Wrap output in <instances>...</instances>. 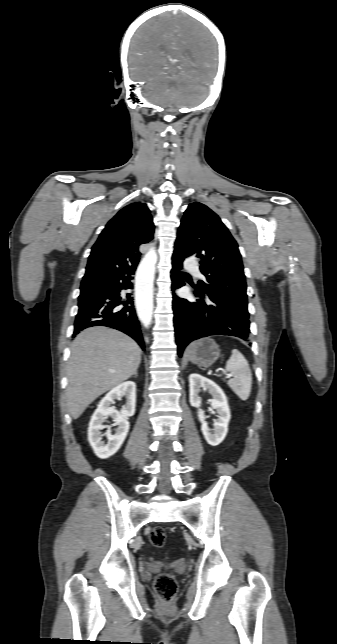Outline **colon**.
<instances>
[{
    "label": "colon",
    "instance_id": "5ec220e1",
    "mask_svg": "<svg viewBox=\"0 0 337 644\" xmlns=\"http://www.w3.org/2000/svg\"><path fill=\"white\" fill-rule=\"evenodd\" d=\"M166 534L163 528L155 527L149 534V541L154 547H161L165 543ZM155 589L162 603L169 604L177 590L175 578L167 573L159 574L155 579Z\"/></svg>",
    "mask_w": 337,
    "mask_h": 644
}]
</instances>
